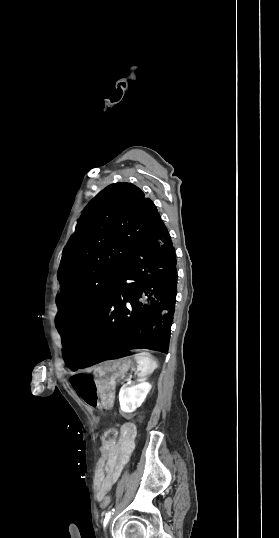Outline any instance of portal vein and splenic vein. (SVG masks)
Segmentation results:
<instances>
[{
  "label": "portal vein and splenic vein",
  "instance_id": "portal-vein-and-splenic-vein-1",
  "mask_svg": "<svg viewBox=\"0 0 279 538\" xmlns=\"http://www.w3.org/2000/svg\"><path fill=\"white\" fill-rule=\"evenodd\" d=\"M130 379H134V376L126 377V383H131Z\"/></svg>",
  "mask_w": 279,
  "mask_h": 538
}]
</instances>
